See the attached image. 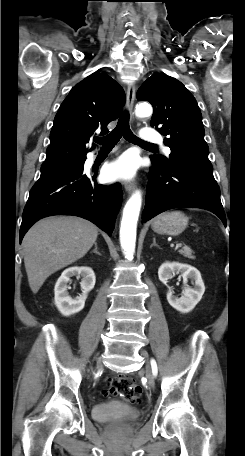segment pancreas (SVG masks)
Masks as SVG:
<instances>
[{
	"instance_id": "pancreas-1",
	"label": "pancreas",
	"mask_w": 245,
	"mask_h": 456,
	"mask_svg": "<svg viewBox=\"0 0 245 456\" xmlns=\"http://www.w3.org/2000/svg\"><path fill=\"white\" fill-rule=\"evenodd\" d=\"M179 253L189 259H194L193 251L188 246H184L182 249L179 250Z\"/></svg>"
}]
</instances>
